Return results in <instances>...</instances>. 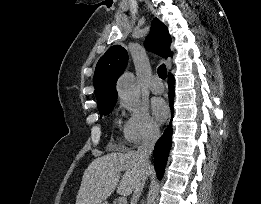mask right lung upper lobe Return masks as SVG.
<instances>
[{
	"instance_id": "right-lung-upper-lobe-1",
	"label": "right lung upper lobe",
	"mask_w": 261,
	"mask_h": 204,
	"mask_svg": "<svg viewBox=\"0 0 261 204\" xmlns=\"http://www.w3.org/2000/svg\"><path fill=\"white\" fill-rule=\"evenodd\" d=\"M145 45L149 50L164 58L172 56L170 51L171 37L168 29L157 18L152 21ZM127 62V51L120 45L110 47L100 58L93 78L97 106L117 101L116 82L125 70Z\"/></svg>"
}]
</instances>
